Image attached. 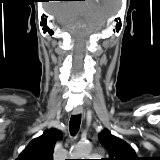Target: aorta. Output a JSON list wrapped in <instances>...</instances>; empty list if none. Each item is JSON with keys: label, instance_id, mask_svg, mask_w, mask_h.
<instances>
[{"label": "aorta", "instance_id": "obj_1", "mask_svg": "<svg viewBox=\"0 0 160 160\" xmlns=\"http://www.w3.org/2000/svg\"><path fill=\"white\" fill-rule=\"evenodd\" d=\"M91 151L89 144L80 143L75 145L70 152V159H87Z\"/></svg>", "mask_w": 160, "mask_h": 160}]
</instances>
